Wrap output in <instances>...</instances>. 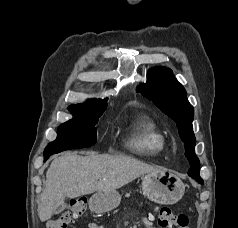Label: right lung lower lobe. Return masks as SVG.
<instances>
[{
	"label": "right lung lower lobe",
	"instance_id": "right-lung-lower-lobe-1",
	"mask_svg": "<svg viewBox=\"0 0 238 228\" xmlns=\"http://www.w3.org/2000/svg\"><path fill=\"white\" fill-rule=\"evenodd\" d=\"M53 153H48V154H44V161H46L50 155H52Z\"/></svg>",
	"mask_w": 238,
	"mask_h": 228
}]
</instances>
